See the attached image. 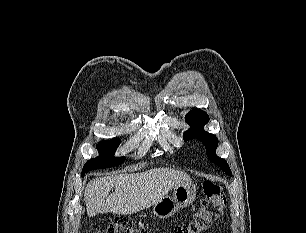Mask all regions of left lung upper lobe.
Returning a JSON list of instances; mask_svg holds the SVG:
<instances>
[{
  "label": "left lung upper lobe",
  "mask_w": 306,
  "mask_h": 233,
  "mask_svg": "<svg viewBox=\"0 0 306 233\" xmlns=\"http://www.w3.org/2000/svg\"><path fill=\"white\" fill-rule=\"evenodd\" d=\"M185 121L191 126V129L184 133V140L187 141L193 138L200 140L206 147L210 161L217 164L226 174L232 176L227 162L219 158L215 153L218 146V139L215 135L203 130V126L209 121V116L206 112L200 109H194L186 114Z\"/></svg>",
  "instance_id": "1"
}]
</instances>
